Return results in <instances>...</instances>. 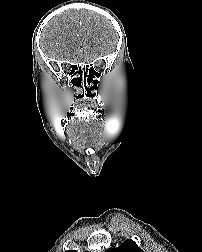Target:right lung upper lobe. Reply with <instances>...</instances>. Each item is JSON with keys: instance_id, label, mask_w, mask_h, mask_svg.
<instances>
[{"instance_id": "1", "label": "right lung upper lobe", "mask_w": 202, "mask_h": 252, "mask_svg": "<svg viewBox=\"0 0 202 252\" xmlns=\"http://www.w3.org/2000/svg\"><path fill=\"white\" fill-rule=\"evenodd\" d=\"M67 252H76V251H67Z\"/></svg>"}]
</instances>
